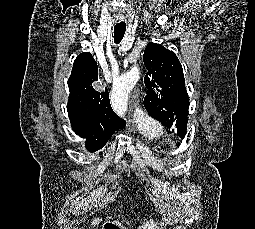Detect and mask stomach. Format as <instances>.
<instances>
[{
  "label": "stomach",
  "mask_w": 255,
  "mask_h": 229,
  "mask_svg": "<svg viewBox=\"0 0 255 229\" xmlns=\"http://www.w3.org/2000/svg\"><path fill=\"white\" fill-rule=\"evenodd\" d=\"M114 226H115V229H119V226H118V225H115V224H114ZM150 229H161V227H160V224H159V223H155V224H153V225L150 227Z\"/></svg>",
  "instance_id": "1"
}]
</instances>
